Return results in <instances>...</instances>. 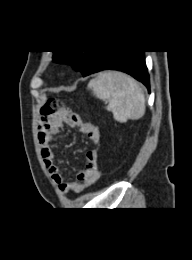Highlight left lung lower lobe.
Returning a JSON list of instances; mask_svg holds the SVG:
<instances>
[{
  "label": "left lung lower lobe",
  "mask_w": 192,
  "mask_h": 260,
  "mask_svg": "<svg viewBox=\"0 0 192 260\" xmlns=\"http://www.w3.org/2000/svg\"><path fill=\"white\" fill-rule=\"evenodd\" d=\"M107 69L128 73L138 81L142 82L148 89L150 88L144 51H97L83 76H88Z\"/></svg>",
  "instance_id": "left-lung-lower-lobe-1"
}]
</instances>
